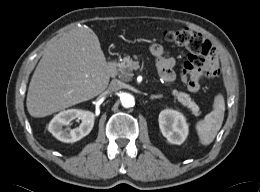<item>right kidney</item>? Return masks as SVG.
<instances>
[{"label":"right kidney","instance_id":"1","mask_svg":"<svg viewBox=\"0 0 260 192\" xmlns=\"http://www.w3.org/2000/svg\"><path fill=\"white\" fill-rule=\"evenodd\" d=\"M82 122L79 127L69 130L63 126L69 125L74 119ZM95 115L87 110L68 109L58 113L49 123L48 131L58 140L65 143L76 142L90 133L94 126Z\"/></svg>","mask_w":260,"mask_h":192}]
</instances>
